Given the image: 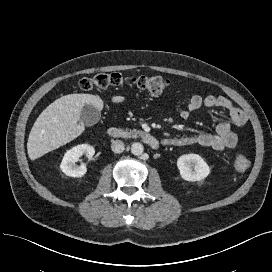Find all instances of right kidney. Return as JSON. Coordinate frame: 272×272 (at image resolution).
Wrapping results in <instances>:
<instances>
[{
	"mask_svg": "<svg viewBox=\"0 0 272 272\" xmlns=\"http://www.w3.org/2000/svg\"><path fill=\"white\" fill-rule=\"evenodd\" d=\"M95 153V149L93 146L88 144L77 145L70 150H68L60 164L61 171L70 177H82L87 172V167L85 164H81L80 166L76 165L75 162L79 160V157L82 155H86L89 159Z\"/></svg>",
	"mask_w": 272,
	"mask_h": 272,
	"instance_id": "obj_1",
	"label": "right kidney"
}]
</instances>
